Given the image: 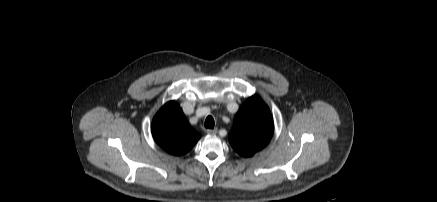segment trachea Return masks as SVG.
I'll use <instances>...</instances> for the list:
<instances>
[{
	"mask_svg": "<svg viewBox=\"0 0 437 202\" xmlns=\"http://www.w3.org/2000/svg\"><path fill=\"white\" fill-rule=\"evenodd\" d=\"M214 119L212 116H208L205 120L204 126L208 129H213L214 128Z\"/></svg>",
	"mask_w": 437,
	"mask_h": 202,
	"instance_id": "trachea-1",
	"label": "trachea"
}]
</instances>
